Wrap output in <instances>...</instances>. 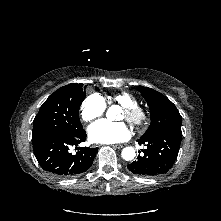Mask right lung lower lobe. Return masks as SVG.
Listing matches in <instances>:
<instances>
[{
    "instance_id": "98d812e1",
    "label": "right lung lower lobe",
    "mask_w": 221,
    "mask_h": 221,
    "mask_svg": "<svg viewBox=\"0 0 221 221\" xmlns=\"http://www.w3.org/2000/svg\"><path fill=\"white\" fill-rule=\"evenodd\" d=\"M85 139L84 129L73 134H48L33 141L34 154L45 171L59 177H74L90 168L98 150L83 147L73 155L70 152L71 147H76Z\"/></svg>"
}]
</instances>
